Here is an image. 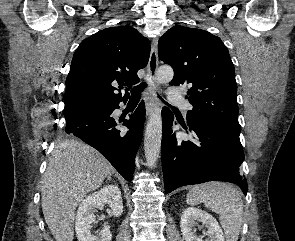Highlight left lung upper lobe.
<instances>
[{
	"label": "left lung upper lobe",
	"instance_id": "1",
	"mask_svg": "<svg viewBox=\"0 0 295 241\" xmlns=\"http://www.w3.org/2000/svg\"><path fill=\"white\" fill-rule=\"evenodd\" d=\"M160 60L172 66L170 85L189 84L193 105L188 123L208 124L239 135L234 65L219 37L195 28L174 26L158 42Z\"/></svg>",
	"mask_w": 295,
	"mask_h": 241
}]
</instances>
